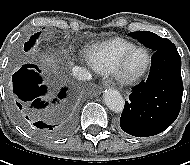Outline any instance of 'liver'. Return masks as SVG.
<instances>
[{
    "mask_svg": "<svg viewBox=\"0 0 190 165\" xmlns=\"http://www.w3.org/2000/svg\"><path fill=\"white\" fill-rule=\"evenodd\" d=\"M41 58L44 59L47 63H51L53 61L52 57H49V56L44 55V54L41 55Z\"/></svg>",
    "mask_w": 190,
    "mask_h": 165,
    "instance_id": "liver-1",
    "label": "liver"
}]
</instances>
